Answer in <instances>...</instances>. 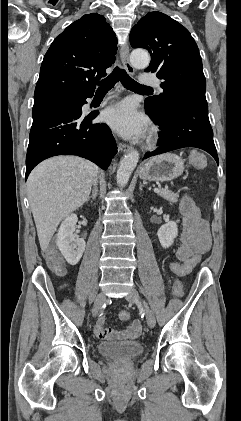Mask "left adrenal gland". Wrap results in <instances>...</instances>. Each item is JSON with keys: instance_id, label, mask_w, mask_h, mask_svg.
<instances>
[{"instance_id": "1", "label": "left adrenal gland", "mask_w": 241, "mask_h": 421, "mask_svg": "<svg viewBox=\"0 0 241 421\" xmlns=\"http://www.w3.org/2000/svg\"><path fill=\"white\" fill-rule=\"evenodd\" d=\"M144 184H145V183H143V184H142V183H140V187H139L140 191H142V187H144Z\"/></svg>"}]
</instances>
